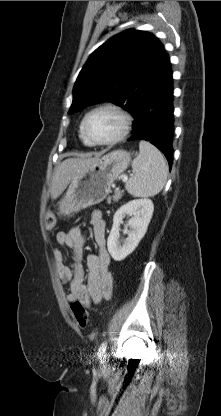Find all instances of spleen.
Instances as JSON below:
<instances>
[{
  "label": "spleen",
  "instance_id": "obj_1",
  "mask_svg": "<svg viewBox=\"0 0 221 416\" xmlns=\"http://www.w3.org/2000/svg\"><path fill=\"white\" fill-rule=\"evenodd\" d=\"M134 176L125 184L127 192L134 197H152L164 187L168 166L162 153L151 143L140 141L139 155L132 162Z\"/></svg>",
  "mask_w": 221,
  "mask_h": 416
}]
</instances>
